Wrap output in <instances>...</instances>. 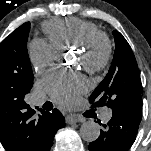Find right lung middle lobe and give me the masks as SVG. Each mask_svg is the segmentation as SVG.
Instances as JSON below:
<instances>
[{"label":"right lung middle lobe","mask_w":151,"mask_h":151,"mask_svg":"<svg viewBox=\"0 0 151 151\" xmlns=\"http://www.w3.org/2000/svg\"><path fill=\"white\" fill-rule=\"evenodd\" d=\"M30 23L26 22L0 44V96H22L33 85V72L26 49Z\"/></svg>","instance_id":"obj_1"}]
</instances>
